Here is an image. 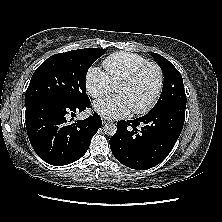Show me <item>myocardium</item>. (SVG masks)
<instances>
[{
	"label": "myocardium",
	"mask_w": 222,
	"mask_h": 222,
	"mask_svg": "<svg viewBox=\"0 0 222 222\" xmlns=\"http://www.w3.org/2000/svg\"><path fill=\"white\" fill-rule=\"evenodd\" d=\"M148 68H154L157 72V76H158L157 87H156V90H155L154 94L152 95V97L143 106H141L139 108L132 109V111L135 114L146 113L157 102V100L162 92L163 84H164V74H163L162 68L157 63L147 62V63L139 66L138 68H136L132 73H130L127 77H125L117 86V87H119L121 85L131 84Z\"/></svg>",
	"instance_id": "obj_1"
}]
</instances>
